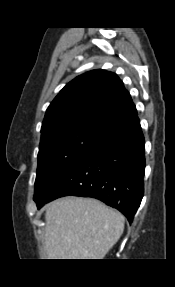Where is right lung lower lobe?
<instances>
[{
	"instance_id": "98d812e1",
	"label": "right lung lower lobe",
	"mask_w": 175,
	"mask_h": 287,
	"mask_svg": "<svg viewBox=\"0 0 175 287\" xmlns=\"http://www.w3.org/2000/svg\"><path fill=\"white\" fill-rule=\"evenodd\" d=\"M145 142L138 115L120 121L41 195L38 208L66 195L92 197L133 221L144 192Z\"/></svg>"
}]
</instances>
